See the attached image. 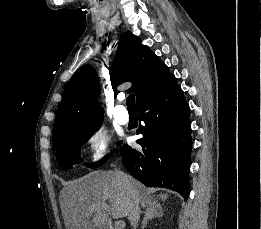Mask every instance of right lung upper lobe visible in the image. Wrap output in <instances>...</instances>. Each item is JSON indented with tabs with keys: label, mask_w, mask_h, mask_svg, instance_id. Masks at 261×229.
<instances>
[{
	"label": "right lung upper lobe",
	"mask_w": 261,
	"mask_h": 229,
	"mask_svg": "<svg viewBox=\"0 0 261 229\" xmlns=\"http://www.w3.org/2000/svg\"><path fill=\"white\" fill-rule=\"evenodd\" d=\"M173 75L168 67L146 46L139 37L127 31L122 36L110 70L112 87L130 81L137 104L165 84ZM117 92L114 93L116 96ZM99 82L90 65L79 68L66 85L56 115L52 134V148L59 147L64 139V128L101 123L103 110L98 103Z\"/></svg>",
	"instance_id": "1"
}]
</instances>
